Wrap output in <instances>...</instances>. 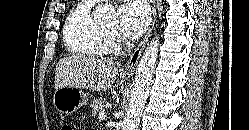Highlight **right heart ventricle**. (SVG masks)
Returning a JSON list of instances; mask_svg holds the SVG:
<instances>
[{"instance_id":"right-heart-ventricle-1","label":"right heart ventricle","mask_w":249,"mask_h":130,"mask_svg":"<svg viewBox=\"0 0 249 130\" xmlns=\"http://www.w3.org/2000/svg\"><path fill=\"white\" fill-rule=\"evenodd\" d=\"M94 0H79L68 15L63 41L72 55L102 57L110 49L109 33L93 18Z\"/></svg>"}]
</instances>
